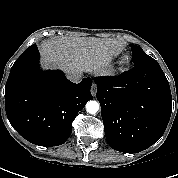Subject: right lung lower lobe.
<instances>
[{"instance_id":"98d812e1","label":"right lung lower lobe","mask_w":178,"mask_h":178,"mask_svg":"<svg viewBox=\"0 0 178 178\" xmlns=\"http://www.w3.org/2000/svg\"><path fill=\"white\" fill-rule=\"evenodd\" d=\"M91 78L79 84L61 71L39 70L35 44L13 64L5 87V109L12 127L27 141L40 146H58L72 132V122L93 99Z\"/></svg>"}]
</instances>
